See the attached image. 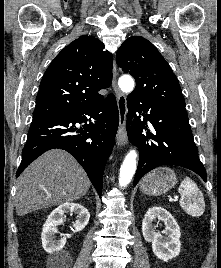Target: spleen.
Listing matches in <instances>:
<instances>
[{"label": "spleen", "instance_id": "obj_1", "mask_svg": "<svg viewBox=\"0 0 221 268\" xmlns=\"http://www.w3.org/2000/svg\"><path fill=\"white\" fill-rule=\"evenodd\" d=\"M178 191L181 195L180 206L186 213L193 217H199L204 213L205 201L203 194L192 179L185 177Z\"/></svg>", "mask_w": 221, "mask_h": 268}]
</instances>
